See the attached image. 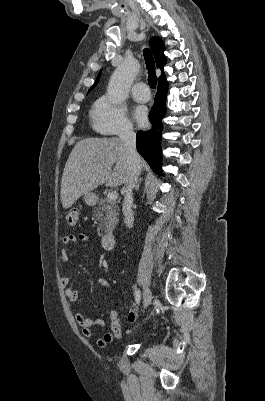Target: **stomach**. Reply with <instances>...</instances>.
Returning <instances> with one entry per match:
<instances>
[{"label": "stomach", "instance_id": "stomach-1", "mask_svg": "<svg viewBox=\"0 0 265 401\" xmlns=\"http://www.w3.org/2000/svg\"><path fill=\"white\" fill-rule=\"evenodd\" d=\"M84 201L86 205H89V207H93L97 201V196L94 194V192H87V194H84Z\"/></svg>", "mask_w": 265, "mask_h": 401}]
</instances>
